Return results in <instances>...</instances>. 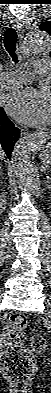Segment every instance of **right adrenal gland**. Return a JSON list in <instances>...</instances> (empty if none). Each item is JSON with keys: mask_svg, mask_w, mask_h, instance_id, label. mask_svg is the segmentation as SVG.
Instances as JSON below:
<instances>
[{"mask_svg": "<svg viewBox=\"0 0 51 393\" xmlns=\"http://www.w3.org/2000/svg\"><path fill=\"white\" fill-rule=\"evenodd\" d=\"M0 174L2 175V170L0 171Z\"/></svg>", "mask_w": 51, "mask_h": 393, "instance_id": "2a0ac1e0", "label": "right adrenal gland"}]
</instances>
